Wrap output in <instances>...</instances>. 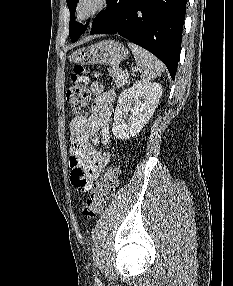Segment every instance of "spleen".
<instances>
[{"label":"spleen","instance_id":"1","mask_svg":"<svg viewBox=\"0 0 233 286\" xmlns=\"http://www.w3.org/2000/svg\"><path fill=\"white\" fill-rule=\"evenodd\" d=\"M128 47L132 50L137 65L140 67L143 82L156 78L163 72V64L149 51L129 42Z\"/></svg>","mask_w":233,"mask_h":286}]
</instances>
